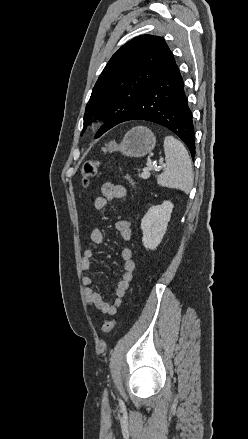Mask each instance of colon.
<instances>
[{
  "label": "colon",
  "mask_w": 248,
  "mask_h": 439,
  "mask_svg": "<svg viewBox=\"0 0 248 439\" xmlns=\"http://www.w3.org/2000/svg\"><path fill=\"white\" fill-rule=\"evenodd\" d=\"M100 169V162L98 160H90L86 161L82 166V180L83 185L87 187L90 183V181L99 173ZM125 179L129 181V183L133 184L132 179L125 175ZM117 320H107L104 322V324L101 327V333L105 334L112 330L114 326L116 325Z\"/></svg>",
  "instance_id": "obj_1"
}]
</instances>
